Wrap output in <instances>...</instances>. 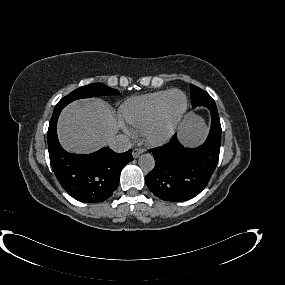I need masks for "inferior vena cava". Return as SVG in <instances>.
I'll return each mask as SVG.
<instances>
[{
	"label": "inferior vena cava",
	"instance_id": "1",
	"mask_svg": "<svg viewBox=\"0 0 285 285\" xmlns=\"http://www.w3.org/2000/svg\"><path fill=\"white\" fill-rule=\"evenodd\" d=\"M108 146L114 152L123 153V152L128 151L132 147V144L128 136L124 134H120V135H115L111 137L108 140Z\"/></svg>",
	"mask_w": 285,
	"mask_h": 285
}]
</instances>
